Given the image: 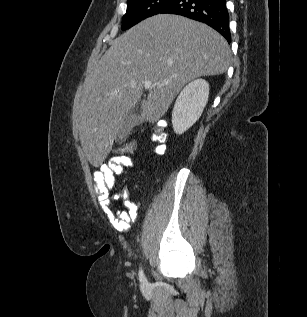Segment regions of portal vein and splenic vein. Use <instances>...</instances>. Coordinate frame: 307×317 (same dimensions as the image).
Returning a JSON list of instances; mask_svg holds the SVG:
<instances>
[{"label":"portal vein and splenic vein","mask_w":307,"mask_h":317,"mask_svg":"<svg viewBox=\"0 0 307 317\" xmlns=\"http://www.w3.org/2000/svg\"><path fill=\"white\" fill-rule=\"evenodd\" d=\"M161 86H163V84H162V85H158L157 87L159 88V87H161ZM144 87H145V89H151V88H154V87H156V86L153 85L150 81H145V82H144Z\"/></svg>","instance_id":"obj_1"}]
</instances>
